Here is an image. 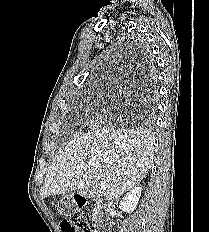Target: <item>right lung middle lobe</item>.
I'll return each instance as SVG.
<instances>
[{"label":"right lung middle lobe","instance_id":"dd1d6c3e","mask_svg":"<svg viewBox=\"0 0 209 232\" xmlns=\"http://www.w3.org/2000/svg\"><path fill=\"white\" fill-rule=\"evenodd\" d=\"M153 75H150L148 78V93L146 92V100L144 101L142 112L144 116V124L146 126L152 127L154 122V111H155V102H156V95L157 91L153 84ZM151 84V85H150Z\"/></svg>","mask_w":209,"mask_h":232}]
</instances>
